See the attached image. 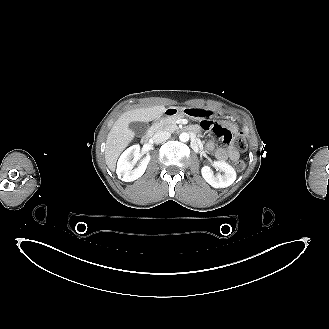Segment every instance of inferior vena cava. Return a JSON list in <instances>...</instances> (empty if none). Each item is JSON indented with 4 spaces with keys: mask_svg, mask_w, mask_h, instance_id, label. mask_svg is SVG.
<instances>
[{
    "mask_svg": "<svg viewBox=\"0 0 329 329\" xmlns=\"http://www.w3.org/2000/svg\"><path fill=\"white\" fill-rule=\"evenodd\" d=\"M171 134L167 131H159L154 134L153 140L155 143H161L169 139Z\"/></svg>",
    "mask_w": 329,
    "mask_h": 329,
    "instance_id": "602c4592",
    "label": "inferior vena cava"
}]
</instances>
